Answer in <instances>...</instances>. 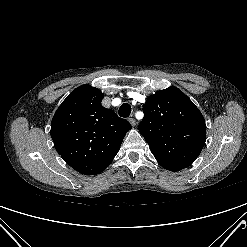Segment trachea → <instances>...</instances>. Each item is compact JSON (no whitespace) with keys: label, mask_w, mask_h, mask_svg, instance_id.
<instances>
[{"label":"trachea","mask_w":247,"mask_h":247,"mask_svg":"<svg viewBox=\"0 0 247 247\" xmlns=\"http://www.w3.org/2000/svg\"><path fill=\"white\" fill-rule=\"evenodd\" d=\"M131 113V106L128 103H124L119 108V116L121 117H129Z\"/></svg>","instance_id":"obj_1"}]
</instances>
